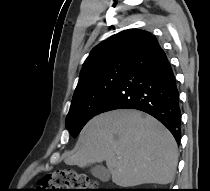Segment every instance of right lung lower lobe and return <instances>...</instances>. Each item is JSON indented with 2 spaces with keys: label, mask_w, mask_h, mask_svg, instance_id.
Wrapping results in <instances>:
<instances>
[{
  "label": "right lung lower lobe",
  "mask_w": 210,
  "mask_h": 191,
  "mask_svg": "<svg viewBox=\"0 0 210 191\" xmlns=\"http://www.w3.org/2000/svg\"><path fill=\"white\" fill-rule=\"evenodd\" d=\"M137 109L159 120L178 142L181 137L179 92L172 67L154 35L136 52L98 114Z\"/></svg>",
  "instance_id": "obj_1"
}]
</instances>
